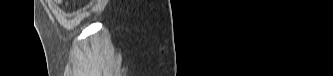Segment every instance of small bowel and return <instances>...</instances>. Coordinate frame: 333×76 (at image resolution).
Here are the masks:
<instances>
[{
    "instance_id": "1",
    "label": "small bowel",
    "mask_w": 333,
    "mask_h": 76,
    "mask_svg": "<svg viewBox=\"0 0 333 76\" xmlns=\"http://www.w3.org/2000/svg\"><path fill=\"white\" fill-rule=\"evenodd\" d=\"M51 3H52L56 8H57L58 6L64 4V2L61 1V0H54V1H51ZM65 4H69V2H66Z\"/></svg>"
}]
</instances>
